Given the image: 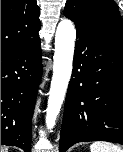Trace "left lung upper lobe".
I'll use <instances>...</instances> for the list:
<instances>
[{"label":"left lung upper lobe","instance_id":"obj_1","mask_svg":"<svg viewBox=\"0 0 123 152\" xmlns=\"http://www.w3.org/2000/svg\"><path fill=\"white\" fill-rule=\"evenodd\" d=\"M64 15L123 46V25L113 0H67Z\"/></svg>","mask_w":123,"mask_h":152}]
</instances>
